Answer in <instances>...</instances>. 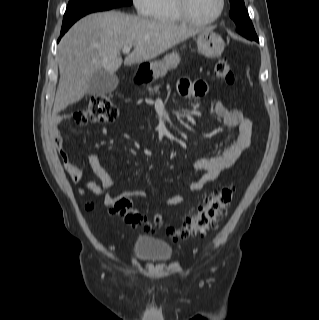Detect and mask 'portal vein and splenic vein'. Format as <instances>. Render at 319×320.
Wrapping results in <instances>:
<instances>
[{"mask_svg":"<svg viewBox=\"0 0 319 320\" xmlns=\"http://www.w3.org/2000/svg\"><path fill=\"white\" fill-rule=\"evenodd\" d=\"M130 49H131L130 46L123 47V48H122V52L125 53V54H127V53L130 52Z\"/></svg>","mask_w":319,"mask_h":320,"instance_id":"obj_1","label":"portal vein and splenic vein"}]
</instances>
